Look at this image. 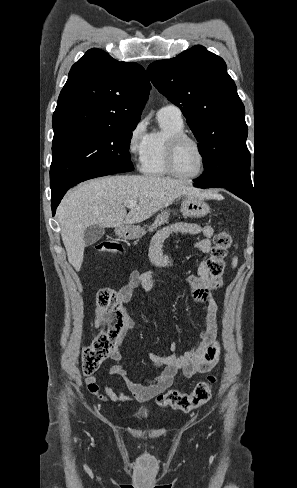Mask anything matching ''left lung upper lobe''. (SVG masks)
<instances>
[{
	"mask_svg": "<svg viewBox=\"0 0 297 488\" xmlns=\"http://www.w3.org/2000/svg\"><path fill=\"white\" fill-rule=\"evenodd\" d=\"M224 60L201 45L147 68L153 85L177 105L199 141L200 188L232 187L253 194L245 108Z\"/></svg>",
	"mask_w": 297,
	"mask_h": 488,
	"instance_id": "1",
	"label": "left lung upper lobe"
}]
</instances>
